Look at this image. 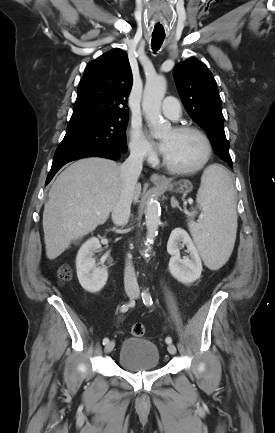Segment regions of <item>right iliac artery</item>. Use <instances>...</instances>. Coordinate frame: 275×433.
I'll list each match as a JSON object with an SVG mask.
<instances>
[{"label": "right iliac artery", "mask_w": 275, "mask_h": 433, "mask_svg": "<svg viewBox=\"0 0 275 433\" xmlns=\"http://www.w3.org/2000/svg\"><path fill=\"white\" fill-rule=\"evenodd\" d=\"M133 305H134V301L132 300L129 303H126V304L122 305L121 308H120V311L121 312H126L129 309V307L133 306ZM108 342H109L108 338H104L103 339V344L104 345L107 344Z\"/></svg>", "instance_id": "1"}]
</instances>
